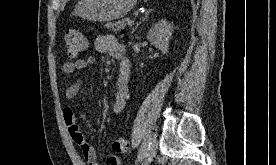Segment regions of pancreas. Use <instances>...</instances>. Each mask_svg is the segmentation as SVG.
<instances>
[{"label": "pancreas", "mask_w": 276, "mask_h": 165, "mask_svg": "<svg viewBox=\"0 0 276 165\" xmlns=\"http://www.w3.org/2000/svg\"><path fill=\"white\" fill-rule=\"evenodd\" d=\"M127 24L128 19H123L118 22L108 23L106 26L107 28H112L113 31H119L121 29H124Z\"/></svg>", "instance_id": "cf45deb5"}]
</instances>
